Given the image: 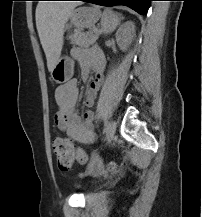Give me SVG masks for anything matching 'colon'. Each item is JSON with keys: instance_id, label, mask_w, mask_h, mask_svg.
Returning a JSON list of instances; mask_svg holds the SVG:
<instances>
[{"instance_id": "1", "label": "colon", "mask_w": 202, "mask_h": 217, "mask_svg": "<svg viewBox=\"0 0 202 217\" xmlns=\"http://www.w3.org/2000/svg\"><path fill=\"white\" fill-rule=\"evenodd\" d=\"M53 152L57 160V164L60 170H70L74 160L84 165L87 162V156L80 148H74L69 139L65 137H56L53 140ZM119 165L117 163H108L105 167V171H117Z\"/></svg>"}]
</instances>
